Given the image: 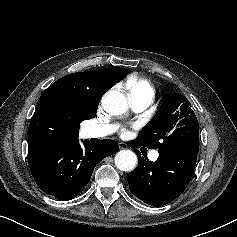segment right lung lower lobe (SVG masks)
<instances>
[{
	"mask_svg": "<svg viewBox=\"0 0 237 237\" xmlns=\"http://www.w3.org/2000/svg\"><path fill=\"white\" fill-rule=\"evenodd\" d=\"M83 144L84 148L77 137L28 151L31 173L42 191L62 201L75 198L89 182L95 166L119 149L109 139L98 144L85 140Z\"/></svg>",
	"mask_w": 237,
	"mask_h": 237,
	"instance_id": "obj_1",
	"label": "right lung lower lobe"
}]
</instances>
